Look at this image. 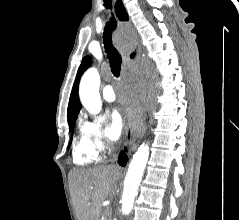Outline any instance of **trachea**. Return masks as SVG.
Instances as JSON below:
<instances>
[{
	"instance_id": "trachea-1",
	"label": "trachea",
	"mask_w": 239,
	"mask_h": 220,
	"mask_svg": "<svg viewBox=\"0 0 239 220\" xmlns=\"http://www.w3.org/2000/svg\"><path fill=\"white\" fill-rule=\"evenodd\" d=\"M104 6L112 9V0H104ZM117 21L112 14L109 22L106 23L103 33L104 47L109 59L111 71L115 77L120 76L122 59L117 49L112 44V33L116 29Z\"/></svg>"
}]
</instances>
